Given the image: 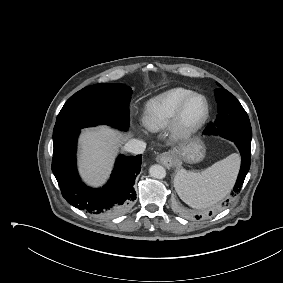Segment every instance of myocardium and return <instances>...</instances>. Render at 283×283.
I'll list each match as a JSON object with an SVG mask.
<instances>
[{
    "label": "myocardium",
    "instance_id": "obj_1",
    "mask_svg": "<svg viewBox=\"0 0 283 283\" xmlns=\"http://www.w3.org/2000/svg\"><path fill=\"white\" fill-rule=\"evenodd\" d=\"M200 98L203 102V111L200 117L191 123L184 119V112L187 104L193 98ZM209 102L208 99L201 93L190 92L178 105L175 114L170 123V137L174 142H181L191 138L206 122L209 116Z\"/></svg>",
    "mask_w": 283,
    "mask_h": 283
}]
</instances>
